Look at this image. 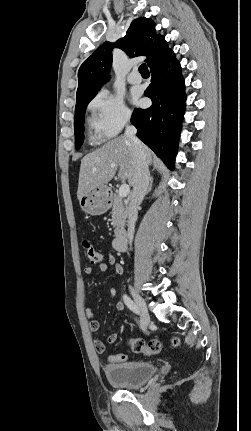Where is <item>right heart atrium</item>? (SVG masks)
I'll return each instance as SVG.
<instances>
[{
	"label": "right heart atrium",
	"instance_id": "right-heart-atrium-1",
	"mask_svg": "<svg viewBox=\"0 0 251 431\" xmlns=\"http://www.w3.org/2000/svg\"><path fill=\"white\" fill-rule=\"evenodd\" d=\"M89 123L100 139L116 136L131 119V111L123 98L106 90L98 91L88 104Z\"/></svg>",
	"mask_w": 251,
	"mask_h": 431
}]
</instances>
